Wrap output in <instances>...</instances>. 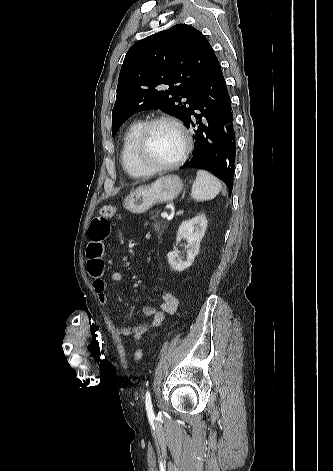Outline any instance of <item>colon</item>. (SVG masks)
I'll return each mask as SVG.
<instances>
[{"label":"colon","instance_id":"obj_1","mask_svg":"<svg viewBox=\"0 0 333 471\" xmlns=\"http://www.w3.org/2000/svg\"><path fill=\"white\" fill-rule=\"evenodd\" d=\"M115 214H116V208L114 206L106 205V206H103L100 209V215H102V216L110 218V217H113ZM142 356H143V352H142L141 349L135 350L134 358L136 360H140L142 358Z\"/></svg>","mask_w":333,"mask_h":471}]
</instances>
